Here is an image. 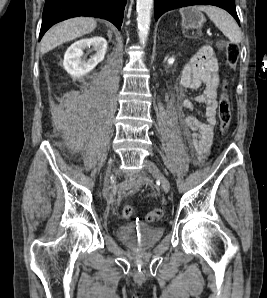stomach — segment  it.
I'll use <instances>...</instances> for the list:
<instances>
[{
  "mask_svg": "<svg viewBox=\"0 0 267 298\" xmlns=\"http://www.w3.org/2000/svg\"><path fill=\"white\" fill-rule=\"evenodd\" d=\"M182 17L181 26L184 30L200 29L206 21L205 16L193 7H186L180 10Z\"/></svg>",
  "mask_w": 267,
  "mask_h": 298,
  "instance_id": "obj_1",
  "label": "stomach"
}]
</instances>
